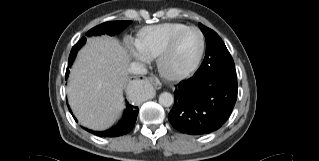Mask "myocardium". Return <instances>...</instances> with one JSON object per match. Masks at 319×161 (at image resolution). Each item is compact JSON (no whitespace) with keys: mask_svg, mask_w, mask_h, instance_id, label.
<instances>
[{"mask_svg":"<svg viewBox=\"0 0 319 161\" xmlns=\"http://www.w3.org/2000/svg\"><path fill=\"white\" fill-rule=\"evenodd\" d=\"M191 30L198 32L199 37H200V48H199V52H198L194 62L188 68H186L184 70L176 71V70L170 69L167 66V59H168L170 53L172 52L177 40L185 32L191 31ZM204 49H205L204 35L199 28L191 26V27H186L184 29L177 31L169 38L164 49L162 50V52L160 53V55L158 57L157 68H158L159 74L162 77L169 79V80H180V79H184V78L190 76L192 73H194L196 71V69L200 65V62H201L203 54H204Z\"/></svg>","mask_w":319,"mask_h":161,"instance_id":"f54148a6","label":"myocardium"}]
</instances>
